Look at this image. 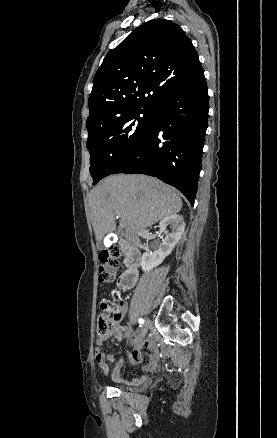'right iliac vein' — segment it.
Instances as JSON below:
<instances>
[{
  "label": "right iliac vein",
  "mask_w": 277,
  "mask_h": 438,
  "mask_svg": "<svg viewBox=\"0 0 277 438\" xmlns=\"http://www.w3.org/2000/svg\"><path fill=\"white\" fill-rule=\"evenodd\" d=\"M149 325H150V320L146 318L139 335L131 342V344H137L145 338L148 332Z\"/></svg>",
  "instance_id": "obj_1"
}]
</instances>
